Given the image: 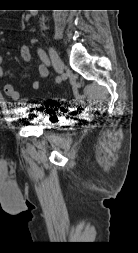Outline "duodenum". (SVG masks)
<instances>
[{"label": "duodenum", "mask_w": 138, "mask_h": 253, "mask_svg": "<svg viewBox=\"0 0 138 253\" xmlns=\"http://www.w3.org/2000/svg\"><path fill=\"white\" fill-rule=\"evenodd\" d=\"M35 14V12H31V15H34Z\"/></svg>", "instance_id": "duodenum-1"}]
</instances>
